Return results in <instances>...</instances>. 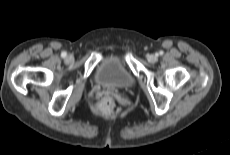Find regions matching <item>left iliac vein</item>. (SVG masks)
<instances>
[{
    "instance_id": "left-iliac-vein-1",
    "label": "left iliac vein",
    "mask_w": 230,
    "mask_h": 155,
    "mask_svg": "<svg viewBox=\"0 0 230 155\" xmlns=\"http://www.w3.org/2000/svg\"><path fill=\"white\" fill-rule=\"evenodd\" d=\"M147 60L150 63H155L157 61V56L154 55V54H150V55L147 56Z\"/></svg>"
}]
</instances>
